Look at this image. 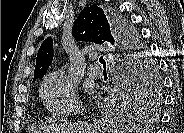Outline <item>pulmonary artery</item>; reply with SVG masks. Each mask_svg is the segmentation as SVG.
Segmentation results:
<instances>
[{"instance_id":"e3ab8cb5","label":"pulmonary artery","mask_w":184,"mask_h":133,"mask_svg":"<svg viewBox=\"0 0 184 133\" xmlns=\"http://www.w3.org/2000/svg\"><path fill=\"white\" fill-rule=\"evenodd\" d=\"M87 73L93 78H100L102 76V70L96 65H89L87 68Z\"/></svg>"}]
</instances>
